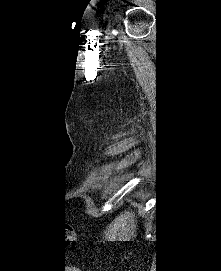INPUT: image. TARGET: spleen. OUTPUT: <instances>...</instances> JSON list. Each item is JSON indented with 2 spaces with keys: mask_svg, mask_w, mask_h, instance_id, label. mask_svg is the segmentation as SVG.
Here are the masks:
<instances>
[{
  "mask_svg": "<svg viewBox=\"0 0 221 271\" xmlns=\"http://www.w3.org/2000/svg\"><path fill=\"white\" fill-rule=\"evenodd\" d=\"M137 219L135 213L131 211H122L120 215H117L111 223H109L106 231V239L110 241H130L133 237H136Z\"/></svg>",
  "mask_w": 221,
  "mask_h": 271,
  "instance_id": "1",
  "label": "spleen"
}]
</instances>
